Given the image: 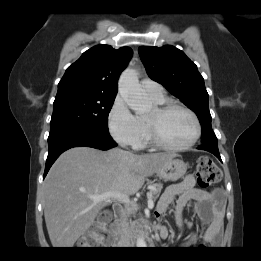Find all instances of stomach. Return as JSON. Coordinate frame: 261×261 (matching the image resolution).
I'll return each mask as SVG.
<instances>
[{"label": "stomach", "instance_id": "stomach-1", "mask_svg": "<svg viewBox=\"0 0 261 261\" xmlns=\"http://www.w3.org/2000/svg\"><path fill=\"white\" fill-rule=\"evenodd\" d=\"M187 171L186 163L176 156L164 162L156 171L157 176L166 181H176Z\"/></svg>", "mask_w": 261, "mask_h": 261}]
</instances>
